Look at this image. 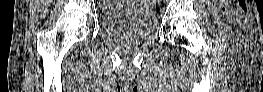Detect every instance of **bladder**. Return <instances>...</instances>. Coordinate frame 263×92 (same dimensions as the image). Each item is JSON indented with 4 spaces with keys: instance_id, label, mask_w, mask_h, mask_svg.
<instances>
[{
    "instance_id": "1",
    "label": "bladder",
    "mask_w": 263,
    "mask_h": 92,
    "mask_svg": "<svg viewBox=\"0 0 263 92\" xmlns=\"http://www.w3.org/2000/svg\"><path fill=\"white\" fill-rule=\"evenodd\" d=\"M135 1L126 2L121 8L103 12L101 21L109 34L126 44L134 45L148 37L156 26V19L149 7L137 8Z\"/></svg>"
}]
</instances>
